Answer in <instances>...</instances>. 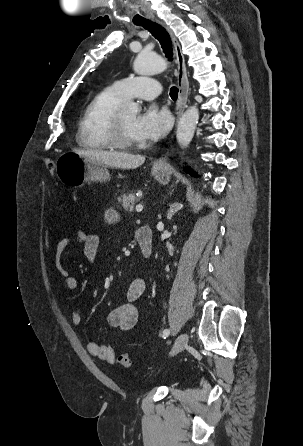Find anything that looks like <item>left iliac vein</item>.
<instances>
[{"mask_svg": "<svg viewBox=\"0 0 303 446\" xmlns=\"http://www.w3.org/2000/svg\"><path fill=\"white\" fill-rule=\"evenodd\" d=\"M187 343L188 335L186 333H182L181 335H179L170 351V356H174L181 352L185 348Z\"/></svg>", "mask_w": 303, "mask_h": 446, "instance_id": "left-iliac-vein-1", "label": "left iliac vein"}]
</instances>
